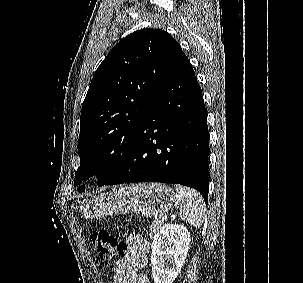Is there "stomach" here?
<instances>
[{"label":"stomach","instance_id":"obj_1","mask_svg":"<svg viewBox=\"0 0 303 283\" xmlns=\"http://www.w3.org/2000/svg\"><path fill=\"white\" fill-rule=\"evenodd\" d=\"M175 199V192L166 184H139L85 199L79 203V211L89 219L130 213L158 218L170 211Z\"/></svg>","mask_w":303,"mask_h":283}]
</instances>
